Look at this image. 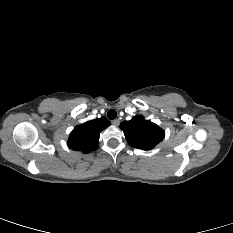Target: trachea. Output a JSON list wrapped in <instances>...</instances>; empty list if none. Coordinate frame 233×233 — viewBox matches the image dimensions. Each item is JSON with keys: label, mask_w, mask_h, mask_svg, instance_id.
I'll use <instances>...</instances> for the list:
<instances>
[{"label": "trachea", "mask_w": 233, "mask_h": 233, "mask_svg": "<svg viewBox=\"0 0 233 233\" xmlns=\"http://www.w3.org/2000/svg\"><path fill=\"white\" fill-rule=\"evenodd\" d=\"M107 116L110 120H113L117 116V112L114 109L108 111Z\"/></svg>", "instance_id": "3493384b"}]
</instances>
